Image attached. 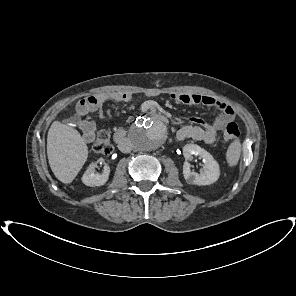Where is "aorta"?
Masks as SVG:
<instances>
[{"mask_svg": "<svg viewBox=\"0 0 296 296\" xmlns=\"http://www.w3.org/2000/svg\"><path fill=\"white\" fill-rule=\"evenodd\" d=\"M134 147L141 151L159 148L168 137L165 124L153 118L139 117L129 132Z\"/></svg>", "mask_w": 296, "mask_h": 296, "instance_id": "1", "label": "aorta"}]
</instances>
